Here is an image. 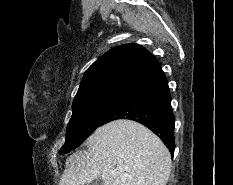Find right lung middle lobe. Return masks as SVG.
Wrapping results in <instances>:
<instances>
[{"instance_id": "obj_1", "label": "right lung middle lobe", "mask_w": 233, "mask_h": 185, "mask_svg": "<svg viewBox=\"0 0 233 185\" xmlns=\"http://www.w3.org/2000/svg\"><path fill=\"white\" fill-rule=\"evenodd\" d=\"M129 91L123 88H105L76 96L66 141L60 153L65 154L77 148Z\"/></svg>"}]
</instances>
